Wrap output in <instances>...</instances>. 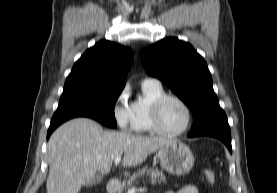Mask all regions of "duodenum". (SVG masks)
<instances>
[{
    "label": "duodenum",
    "mask_w": 277,
    "mask_h": 193,
    "mask_svg": "<svg viewBox=\"0 0 277 193\" xmlns=\"http://www.w3.org/2000/svg\"><path fill=\"white\" fill-rule=\"evenodd\" d=\"M119 189H120V183L118 180L113 179L109 181L107 185L108 193H118Z\"/></svg>",
    "instance_id": "1"
}]
</instances>
